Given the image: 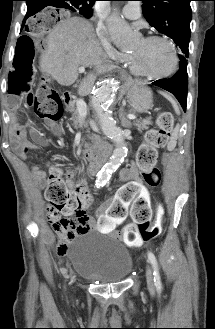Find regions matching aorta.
Instances as JSON below:
<instances>
[{"label":"aorta","instance_id":"aorta-1","mask_svg":"<svg viewBox=\"0 0 215 329\" xmlns=\"http://www.w3.org/2000/svg\"><path fill=\"white\" fill-rule=\"evenodd\" d=\"M106 25L113 42L118 47L128 48L132 45L133 33L126 21L114 14L108 17ZM116 87L117 85L111 80L101 82L96 87L91 100L92 106L98 116L101 131L115 144V149L110 160L97 174V187H102L107 183L112 173L124 161L128 152L123 131L116 125V121L109 111L115 99Z\"/></svg>","mask_w":215,"mask_h":329}]
</instances>
